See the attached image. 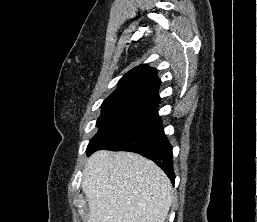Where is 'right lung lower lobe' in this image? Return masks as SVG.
I'll return each mask as SVG.
<instances>
[{"instance_id": "98d812e1", "label": "right lung lower lobe", "mask_w": 257, "mask_h": 222, "mask_svg": "<svg viewBox=\"0 0 257 222\" xmlns=\"http://www.w3.org/2000/svg\"><path fill=\"white\" fill-rule=\"evenodd\" d=\"M100 149L138 153L154 161L167 174L172 184L175 182L172 147L164 134L158 114L109 143L88 151L87 154Z\"/></svg>"}]
</instances>
